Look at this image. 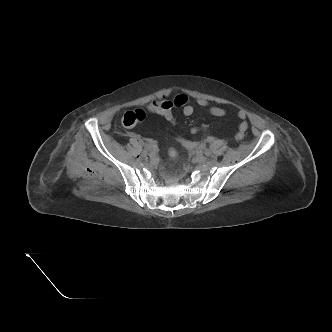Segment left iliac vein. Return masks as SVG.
I'll return each mask as SVG.
<instances>
[{
    "label": "left iliac vein",
    "instance_id": "left-iliac-vein-1",
    "mask_svg": "<svg viewBox=\"0 0 332 332\" xmlns=\"http://www.w3.org/2000/svg\"><path fill=\"white\" fill-rule=\"evenodd\" d=\"M206 159L207 158L204 155H202V154H197L195 156L196 162H199V163H204L206 161Z\"/></svg>",
    "mask_w": 332,
    "mask_h": 332
}]
</instances>
